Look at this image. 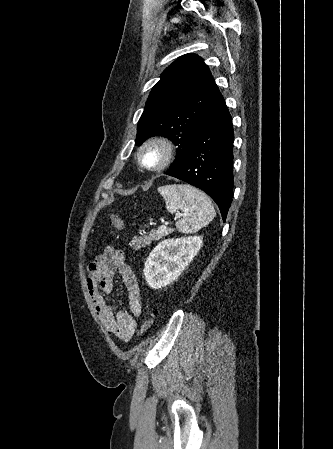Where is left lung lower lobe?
<instances>
[{
	"mask_svg": "<svg viewBox=\"0 0 333 449\" xmlns=\"http://www.w3.org/2000/svg\"><path fill=\"white\" fill-rule=\"evenodd\" d=\"M233 125L220 94L195 133L184 162L165 174L205 191L226 220L233 192Z\"/></svg>",
	"mask_w": 333,
	"mask_h": 449,
	"instance_id": "left-lung-lower-lobe-1",
	"label": "left lung lower lobe"
}]
</instances>
